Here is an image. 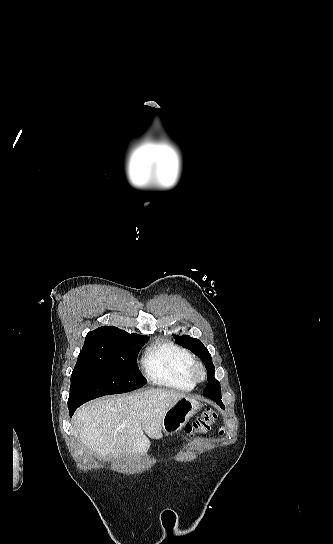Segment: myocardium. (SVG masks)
Segmentation results:
<instances>
[{
  "label": "myocardium",
  "mask_w": 333,
  "mask_h": 544,
  "mask_svg": "<svg viewBox=\"0 0 333 544\" xmlns=\"http://www.w3.org/2000/svg\"><path fill=\"white\" fill-rule=\"evenodd\" d=\"M206 375V369L199 361H193L188 368V377L194 385L204 381Z\"/></svg>",
  "instance_id": "f54148a6"
}]
</instances>
